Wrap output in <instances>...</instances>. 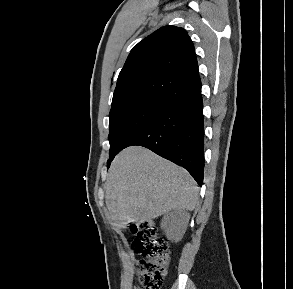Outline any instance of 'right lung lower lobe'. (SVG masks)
Listing matches in <instances>:
<instances>
[{"label": "right lung lower lobe", "instance_id": "right-lung-lower-lobe-1", "mask_svg": "<svg viewBox=\"0 0 293 289\" xmlns=\"http://www.w3.org/2000/svg\"><path fill=\"white\" fill-rule=\"evenodd\" d=\"M132 145L146 147L184 167L201 186L204 173V120L201 92L175 104L161 114L136 134L124 148Z\"/></svg>", "mask_w": 293, "mask_h": 289}]
</instances>
